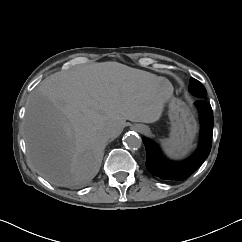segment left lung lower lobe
<instances>
[{
	"label": "left lung lower lobe",
	"instance_id": "0a47b994",
	"mask_svg": "<svg viewBox=\"0 0 242 242\" xmlns=\"http://www.w3.org/2000/svg\"><path fill=\"white\" fill-rule=\"evenodd\" d=\"M200 112L201 135L196 152L187 160L180 163H169L162 157L158 146L150 139H143L147 159L146 167L153 175L165 180H185L208 157L213 134V112L206 99H198L195 102Z\"/></svg>",
	"mask_w": 242,
	"mask_h": 242
}]
</instances>
